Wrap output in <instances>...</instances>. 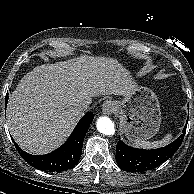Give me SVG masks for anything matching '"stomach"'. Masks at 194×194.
I'll list each match as a JSON object with an SVG mask.
<instances>
[{
    "label": "stomach",
    "mask_w": 194,
    "mask_h": 194,
    "mask_svg": "<svg viewBox=\"0 0 194 194\" xmlns=\"http://www.w3.org/2000/svg\"><path fill=\"white\" fill-rule=\"evenodd\" d=\"M113 112L120 117L129 139L147 140L159 131L161 111L157 96L146 87H136L123 100L113 101Z\"/></svg>",
    "instance_id": "obj_1"
}]
</instances>
